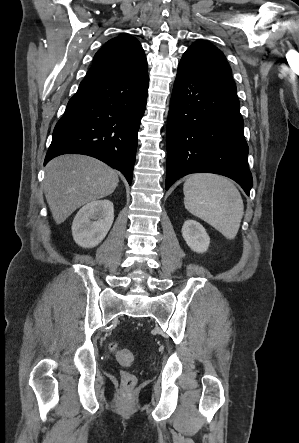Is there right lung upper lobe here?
Instances as JSON below:
<instances>
[{"label":"right lung upper lobe","mask_w":299,"mask_h":443,"mask_svg":"<svg viewBox=\"0 0 299 443\" xmlns=\"http://www.w3.org/2000/svg\"><path fill=\"white\" fill-rule=\"evenodd\" d=\"M148 71L147 60L139 41L128 35H119L95 54L87 79L141 75Z\"/></svg>","instance_id":"right-lung-upper-lobe-1"}]
</instances>
